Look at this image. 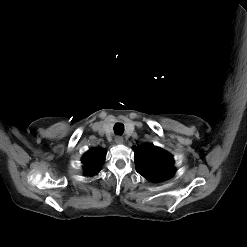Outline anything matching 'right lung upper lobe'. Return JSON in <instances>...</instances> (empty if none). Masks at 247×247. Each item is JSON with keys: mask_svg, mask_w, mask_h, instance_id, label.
Wrapping results in <instances>:
<instances>
[{"mask_svg": "<svg viewBox=\"0 0 247 247\" xmlns=\"http://www.w3.org/2000/svg\"><path fill=\"white\" fill-rule=\"evenodd\" d=\"M105 155V150L99 148L90 149L84 154L82 163L84 164L85 174L87 176L95 175L100 171Z\"/></svg>", "mask_w": 247, "mask_h": 247, "instance_id": "right-lung-upper-lobe-1", "label": "right lung upper lobe"}]
</instances>
